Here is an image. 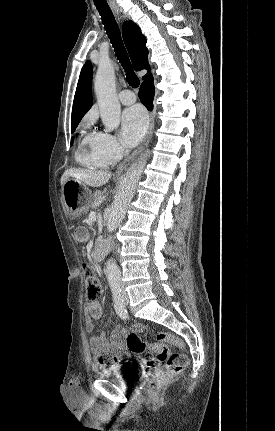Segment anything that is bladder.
Segmentation results:
<instances>
[{"label": "bladder", "mask_w": 275, "mask_h": 431, "mask_svg": "<svg viewBox=\"0 0 275 431\" xmlns=\"http://www.w3.org/2000/svg\"><path fill=\"white\" fill-rule=\"evenodd\" d=\"M133 368L130 366V364H118L113 367H110L108 370L99 373V376L101 377H115L119 379L120 381L127 383V375L130 370Z\"/></svg>", "instance_id": "bladder-1"}]
</instances>
